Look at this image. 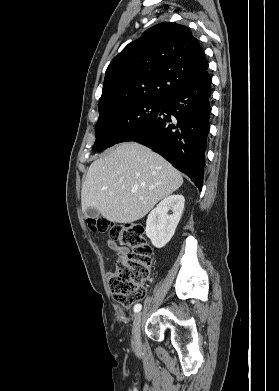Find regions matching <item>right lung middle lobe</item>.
<instances>
[{
    "instance_id": "right-lung-middle-lobe-1",
    "label": "right lung middle lobe",
    "mask_w": 279,
    "mask_h": 391,
    "mask_svg": "<svg viewBox=\"0 0 279 391\" xmlns=\"http://www.w3.org/2000/svg\"><path fill=\"white\" fill-rule=\"evenodd\" d=\"M162 105L161 101L139 100L100 113L93 150L119 143L127 133L156 118Z\"/></svg>"
}]
</instances>
